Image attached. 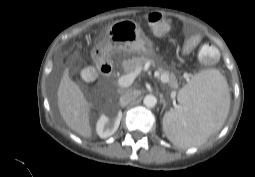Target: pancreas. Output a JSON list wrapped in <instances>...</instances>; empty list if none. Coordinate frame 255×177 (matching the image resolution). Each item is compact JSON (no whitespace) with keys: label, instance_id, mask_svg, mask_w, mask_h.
I'll use <instances>...</instances> for the list:
<instances>
[{"label":"pancreas","instance_id":"1","mask_svg":"<svg viewBox=\"0 0 255 177\" xmlns=\"http://www.w3.org/2000/svg\"><path fill=\"white\" fill-rule=\"evenodd\" d=\"M148 62H150V58L147 56L132 57L124 60L122 66L126 73H132L137 69H142V67ZM151 64H154V62L151 61ZM159 78L162 82L168 83L169 86L174 89L178 87L176 76L167 70L159 69Z\"/></svg>","mask_w":255,"mask_h":177}]
</instances>
